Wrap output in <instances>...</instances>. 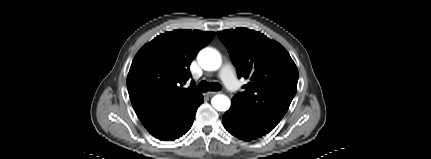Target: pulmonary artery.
<instances>
[{
	"instance_id": "1",
	"label": "pulmonary artery",
	"mask_w": 431,
	"mask_h": 159,
	"mask_svg": "<svg viewBox=\"0 0 431 159\" xmlns=\"http://www.w3.org/2000/svg\"><path fill=\"white\" fill-rule=\"evenodd\" d=\"M219 78L230 91L237 92L240 89V83L236 77L234 67L230 63H225L221 67Z\"/></svg>"
}]
</instances>
